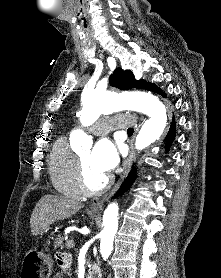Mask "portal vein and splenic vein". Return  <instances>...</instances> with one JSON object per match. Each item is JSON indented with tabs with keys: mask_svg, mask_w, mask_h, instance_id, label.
<instances>
[{
	"mask_svg": "<svg viewBox=\"0 0 221 278\" xmlns=\"http://www.w3.org/2000/svg\"><path fill=\"white\" fill-rule=\"evenodd\" d=\"M68 243H69L70 245H73V244H74V241L69 240Z\"/></svg>",
	"mask_w": 221,
	"mask_h": 278,
	"instance_id": "18ae733b",
	"label": "portal vein and splenic vein"
}]
</instances>
